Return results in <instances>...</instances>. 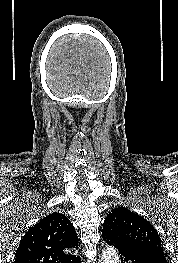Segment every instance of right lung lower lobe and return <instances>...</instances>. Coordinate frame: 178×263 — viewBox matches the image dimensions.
I'll return each mask as SVG.
<instances>
[{
	"label": "right lung lower lobe",
	"mask_w": 178,
	"mask_h": 263,
	"mask_svg": "<svg viewBox=\"0 0 178 263\" xmlns=\"http://www.w3.org/2000/svg\"><path fill=\"white\" fill-rule=\"evenodd\" d=\"M72 263H81V260L79 257H76L74 261H72Z\"/></svg>",
	"instance_id": "1"
}]
</instances>
